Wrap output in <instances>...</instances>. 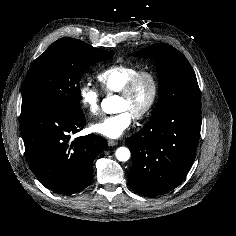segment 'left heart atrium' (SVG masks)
Here are the masks:
<instances>
[{
  "mask_svg": "<svg viewBox=\"0 0 236 236\" xmlns=\"http://www.w3.org/2000/svg\"><path fill=\"white\" fill-rule=\"evenodd\" d=\"M134 116L126 110L108 116L103 120L94 123L92 128L95 132L108 138H119L131 126Z\"/></svg>",
  "mask_w": 236,
  "mask_h": 236,
  "instance_id": "obj_1",
  "label": "left heart atrium"
}]
</instances>
